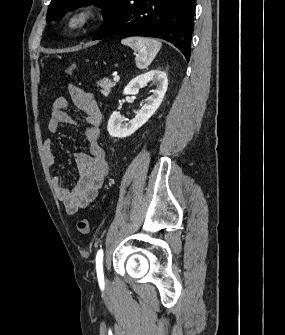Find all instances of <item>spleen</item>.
<instances>
[{
  "instance_id": "1",
  "label": "spleen",
  "mask_w": 285,
  "mask_h": 335,
  "mask_svg": "<svg viewBox=\"0 0 285 335\" xmlns=\"http://www.w3.org/2000/svg\"><path fill=\"white\" fill-rule=\"evenodd\" d=\"M121 44L130 46L134 52H138L135 64L139 70L150 66L161 48L160 42L154 38H125V40H121Z\"/></svg>"
}]
</instances>
